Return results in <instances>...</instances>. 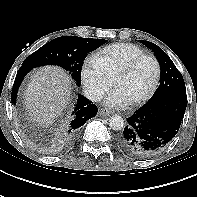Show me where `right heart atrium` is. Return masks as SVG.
<instances>
[{"mask_svg": "<svg viewBox=\"0 0 197 197\" xmlns=\"http://www.w3.org/2000/svg\"><path fill=\"white\" fill-rule=\"evenodd\" d=\"M81 77L87 95L94 101L101 99L113 84V78L92 57L83 64Z\"/></svg>", "mask_w": 197, "mask_h": 197, "instance_id": "d8ad5b80", "label": "right heart atrium"}]
</instances>
